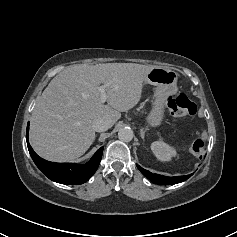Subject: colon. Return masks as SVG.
<instances>
[{
  "label": "colon",
  "instance_id": "1",
  "mask_svg": "<svg viewBox=\"0 0 237 237\" xmlns=\"http://www.w3.org/2000/svg\"><path fill=\"white\" fill-rule=\"evenodd\" d=\"M167 110L173 116H192L196 114L197 106L190 101L184 93L171 96L167 101ZM206 133L201 135L191 143L189 150L194 155H201L205 150Z\"/></svg>",
  "mask_w": 237,
  "mask_h": 237
}]
</instances>
